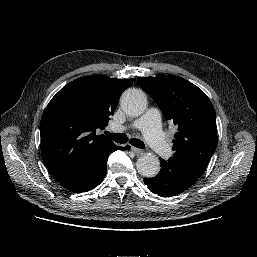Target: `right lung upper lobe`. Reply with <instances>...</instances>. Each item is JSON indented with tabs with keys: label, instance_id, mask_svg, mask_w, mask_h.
Here are the masks:
<instances>
[{
	"label": "right lung upper lobe",
	"instance_id": "1",
	"mask_svg": "<svg viewBox=\"0 0 257 257\" xmlns=\"http://www.w3.org/2000/svg\"><path fill=\"white\" fill-rule=\"evenodd\" d=\"M133 81L86 76L51 99L41 118L40 136L43 160L56 180L115 147L96 130L107 126L120 95Z\"/></svg>",
	"mask_w": 257,
	"mask_h": 257
}]
</instances>
